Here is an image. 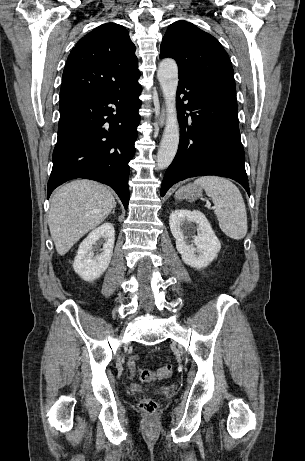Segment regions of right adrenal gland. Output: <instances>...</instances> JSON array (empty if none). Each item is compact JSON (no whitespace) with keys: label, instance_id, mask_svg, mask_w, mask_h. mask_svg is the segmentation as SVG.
<instances>
[{"label":"right adrenal gland","instance_id":"right-adrenal-gland-1","mask_svg":"<svg viewBox=\"0 0 305 461\" xmlns=\"http://www.w3.org/2000/svg\"><path fill=\"white\" fill-rule=\"evenodd\" d=\"M111 213H112V214H114V213H115V208L112 210V212H111Z\"/></svg>","mask_w":305,"mask_h":461}]
</instances>
